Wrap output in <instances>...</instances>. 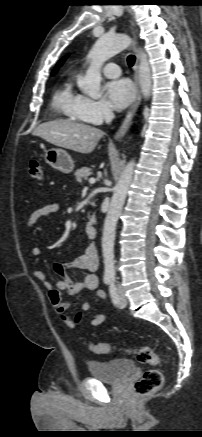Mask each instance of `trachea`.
<instances>
[{"mask_svg":"<svg viewBox=\"0 0 202 437\" xmlns=\"http://www.w3.org/2000/svg\"><path fill=\"white\" fill-rule=\"evenodd\" d=\"M127 63L130 67H132L135 63V56L134 55H129L127 58Z\"/></svg>","mask_w":202,"mask_h":437,"instance_id":"trachea-1","label":"trachea"}]
</instances>
